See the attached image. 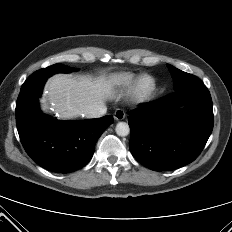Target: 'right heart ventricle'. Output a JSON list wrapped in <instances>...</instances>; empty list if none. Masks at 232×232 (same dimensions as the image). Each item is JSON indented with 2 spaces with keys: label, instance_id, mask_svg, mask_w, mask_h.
<instances>
[{
  "label": "right heart ventricle",
  "instance_id": "e07e8e85",
  "mask_svg": "<svg viewBox=\"0 0 232 232\" xmlns=\"http://www.w3.org/2000/svg\"><path fill=\"white\" fill-rule=\"evenodd\" d=\"M138 77L130 73L115 74L110 79V85L115 93L122 94L129 91L137 82Z\"/></svg>",
  "mask_w": 232,
  "mask_h": 232
}]
</instances>
